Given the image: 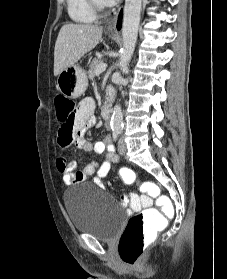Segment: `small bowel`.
Wrapping results in <instances>:
<instances>
[{
  "mask_svg": "<svg viewBox=\"0 0 227 279\" xmlns=\"http://www.w3.org/2000/svg\"><path fill=\"white\" fill-rule=\"evenodd\" d=\"M95 109L96 104L93 98L86 97L82 99L76 113V125L78 126V130L70 138H59V145L66 149L71 143H74L78 149L92 151L95 154H104V161L101 164L92 161L83 169L77 170L74 162L64 157L59 158L56 161V167L65 185H72L77 182L85 181L89 177H92V180L99 184L106 176L109 166L117 161V156L109 136H105L102 141L98 142H91L83 137L85 130L96 123ZM122 170L124 169H121L120 172ZM121 203L125 206H129L133 211H138L150 206L152 200L149 197L141 198L131 193L124 197Z\"/></svg>",
  "mask_w": 227,
  "mask_h": 279,
  "instance_id": "1",
  "label": "small bowel"
}]
</instances>
